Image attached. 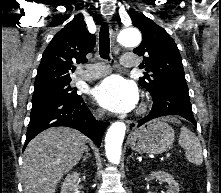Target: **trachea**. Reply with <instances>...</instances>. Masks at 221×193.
I'll list each match as a JSON object with an SVG mask.
<instances>
[{
  "mask_svg": "<svg viewBox=\"0 0 221 193\" xmlns=\"http://www.w3.org/2000/svg\"><path fill=\"white\" fill-rule=\"evenodd\" d=\"M110 38L107 24H102L99 33V54L103 59H109Z\"/></svg>",
  "mask_w": 221,
  "mask_h": 193,
  "instance_id": "1",
  "label": "trachea"
}]
</instances>
